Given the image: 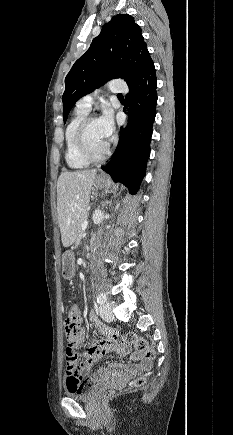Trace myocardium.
Listing matches in <instances>:
<instances>
[{"label":"myocardium","instance_id":"1","mask_svg":"<svg viewBox=\"0 0 233 435\" xmlns=\"http://www.w3.org/2000/svg\"><path fill=\"white\" fill-rule=\"evenodd\" d=\"M98 120L95 116H86L79 124L75 134L76 145L81 156L90 163H97L105 160L111 150V142H108L106 149L101 154H94L87 143L86 133L89 125Z\"/></svg>","mask_w":233,"mask_h":435}]
</instances>
